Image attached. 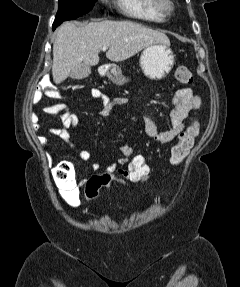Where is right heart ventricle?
I'll list each match as a JSON object with an SVG mask.
<instances>
[{
  "instance_id": "e07e8e85",
  "label": "right heart ventricle",
  "mask_w": 240,
  "mask_h": 287,
  "mask_svg": "<svg viewBox=\"0 0 240 287\" xmlns=\"http://www.w3.org/2000/svg\"><path fill=\"white\" fill-rule=\"evenodd\" d=\"M118 9L127 17L159 22L163 15L155 8L154 0H114Z\"/></svg>"
}]
</instances>
